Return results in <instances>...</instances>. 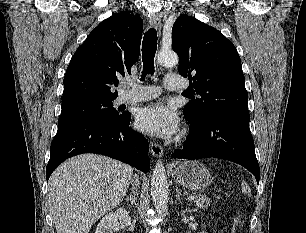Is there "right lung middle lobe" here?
<instances>
[{"mask_svg": "<svg viewBox=\"0 0 306 233\" xmlns=\"http://www.w3.org/2000/svg\"><path fill=\"white\" fill-rule=\"evenodd\" d=\"M114 99L86 98L62 104L58 129L74 123L95 118L120 119L125 113L119 114L113 108Z\"/></svg>", "mask_w": 306, "mask_h": 233, "instance_id": "1", "label": "right lung middle lobe"}]
</instances>
